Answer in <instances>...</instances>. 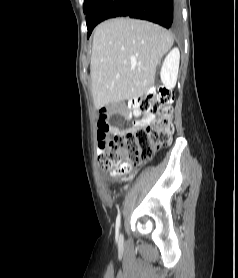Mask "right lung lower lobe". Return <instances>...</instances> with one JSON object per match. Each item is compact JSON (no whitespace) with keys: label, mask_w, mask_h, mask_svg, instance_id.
Returning a JSON list of instances; mask_svg holds the SVG:
<instances>
[{"label":"right lung lower lobe","mask_w":238,"mask_h":278,"mask_svg":"<svg viewBox=\"0 0 238 278\" xmlns=\"http://www.w3.org/2000/svg\"><path fill=\"white\" fill-rule=\"evenodd\" d=\"M116 16L148 20L165 28L180 25L178 0H96L86 13L87 37L98 23Z\"/></svg>","instance_id":"98d812e1"}]
</instances>
